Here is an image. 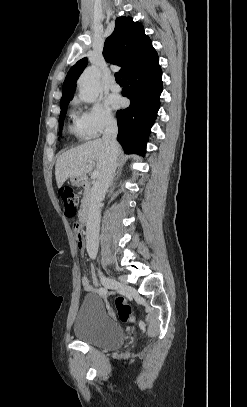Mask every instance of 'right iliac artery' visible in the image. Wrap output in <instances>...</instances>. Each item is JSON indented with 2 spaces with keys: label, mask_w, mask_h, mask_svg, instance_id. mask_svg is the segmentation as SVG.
Masks as SVG:
<instances>
[{
  "label": "right iliac artery",
  "mask_w": 247,
  "mask_h": 407,
  "mask_svg": "<svg viewBox=\"0 0 247 407\" xmlns=\"http://www.w3.org/2000/svg\"><path fill=\"white\" fill-rule=\"evenodd\" d=\"M98 292H99V294L102 295V296H104V295L110 293L107 287H100L99 290H98Z\"/></svg>",
  "instance_id": "obj_1"
}]
</instances>
